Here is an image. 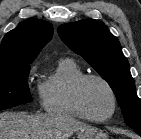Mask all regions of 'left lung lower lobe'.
Returning a JSON list of instances; mask_svg holds the SVG:
<instances>
[{"mask_svg": "<svg viewBox=\"0 0 141 139\" xmlns=\"http://www.w3.org/2000/svg\"><path fill=\"white\" fill-rule=\"evenodd\" d=\"M138 135L141 136V130H134Z\"/></svg>", "mask_w": 141, "mask_h": 139, "instance_id": "left-lung-lower-lobe-1", "label": "left lung lower lobe"}]
</instances>
